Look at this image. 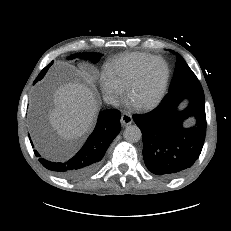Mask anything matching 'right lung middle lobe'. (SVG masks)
I'll list each match as a JSON object with an SVG mask.
<instances>
[{
    "instance_id": "dd1d6c3e",
    "label": "right lung middle lobe",
    "mask_w": 231,
    "mask_h": 231,
    "mask_svg": "<svg viewBox=\"0 0 231 231\" xmlns=\"http://www.w3.org/2000/svg\"><path fill=\"white\" fill-rule=\"evenodd\" d=\"M77 56L82 58V59L89 60V61H91L93 63H97L99 61V59L101 58L102 54H100V53H92V52H84V53H78V54L72 55L68 59H73V58H76ZM52 63L53 62H51L48 66H46L40 72V74L38 75V77L36 78L34 83H36L37 81L41 80L44 77V75L46 74L48 68L52 65Z\"/></svg>"
}]
</instances>
